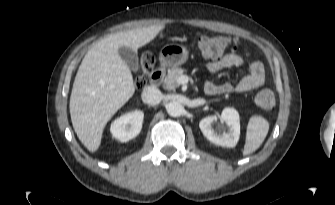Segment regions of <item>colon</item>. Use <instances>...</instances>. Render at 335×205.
<instances>
[{
	"label": "colon",
	"instance_id": "5ec220e1",
	"mask_svg": "<svg viewBox=\"0 0 335 205\" xmlns=\"http://www.w3.org/2000/svg\"><path fill=\"white\" fill-rule=\"evenodd\" d=\"M196 47L207 59H219L228 51H235L239 48V42L236 38L215 36H202L196 42ZM154 65V57L151 53H144L140 59L139 74L135 78V84L138 88L147 85V75L151 72ZM256 103L263 109H271L275 105V97L271 90H261L256 95Z\"/></svg>",
	"mask_w": 335,
	"mask_h": 205
}]
</instances>
